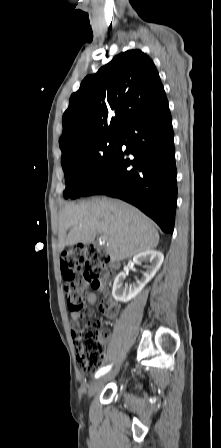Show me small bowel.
<instances>
[{
  "label": "small bowel",
  "instance_id": "small-bowel-1",
  "mask_svg": "<svg viewBox=\"0 0 221 448\" xmlns=\"http://www.w3.org/2000/svg\"><path fill=\"white\" fill-rule=\"evenodd\" d=\"M100 290L104 292V299H103V301L99 305L100 311L107 318L115 317L117 312H118V306H117V303H116L115 299L113 298L112 295H110L107 292V290H106V288L104 286H101ZM96 301H97V296H96L95 293H90L87 296V302L89 304H95ZM82 317H83V314L81 312L74 311V312L71 313V319H72V322L75 325L79 322V320Z\"/></svg>",
  "mask_w": 221,
  "mask_h": 448
}]
</instances>
